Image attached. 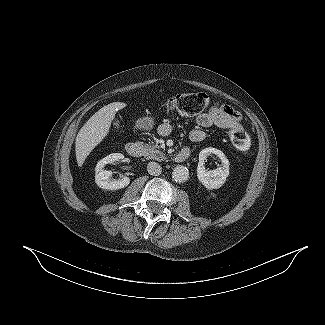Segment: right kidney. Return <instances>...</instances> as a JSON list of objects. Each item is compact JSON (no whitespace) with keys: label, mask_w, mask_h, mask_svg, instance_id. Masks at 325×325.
I'll list each match as a JSON object with an SVG mask.
<instances>
[{"label":"right kidney","mask_w":325,"mask_h":325,"mask_svg":"<svg viewBox=\"0 0 325 325\" xmlns=\"http://www.w3.org/2000/svg\"><path fill=\"white\" fill-rule=\"evenodd\" d=\"M124 159L121 153H112L100 160L95 168V182L102 189L117 190L129 185L130 179L124 176L121 179H111L112 172L104 169L106 164H112Z\"/></svg>","instance_id":"1"}]
</instances>
